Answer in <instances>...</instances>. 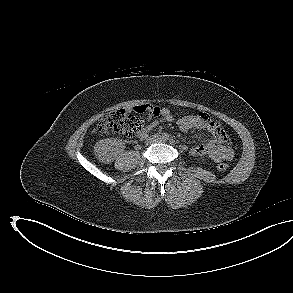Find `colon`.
<instances>
[{"instance_id":"obj_1","label":"colon","mask_w":293,"mask_h":293,"mask_svg":"<svg viewBox=\"0 0 293 293\" xmlns=\"http://www.w3.org/2000/svg\"><path fill=\"white\" fill-rule=\"evenodd\" d=\"M143 119L126 110H116L108 113L98 122L97 129L100 133H113L125 137H131L143 128ZM219 171L228 170L226 163H218Z\"/></svg>"}]
</instances>
